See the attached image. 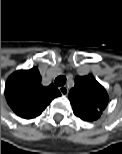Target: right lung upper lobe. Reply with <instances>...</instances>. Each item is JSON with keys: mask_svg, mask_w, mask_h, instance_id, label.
<instances>
[{"mask_svg": "<svg viewBox=\"0 0 122 154\" xmlns=\"http://www.w3.org/2000/svg\"><path fill=\"white\" fill-rule=\"evenodd\" d=\"M37 67L19 70L10 75L5 86L9 106L20 117L31 119L42 113L47 105L61 93L53 85L43 87Z\"/></svg>", "mask_w": 122, "mask_h": 154, "instance_id": "right-lung-upper-lobe-1", "label": "right lung upper lobe"}]
</instances>
